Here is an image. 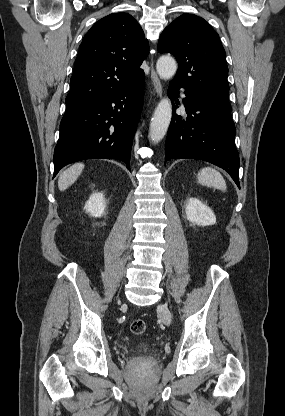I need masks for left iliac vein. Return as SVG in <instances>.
I'll use <instances>...</instances> for the list:
<instances>
[{"label": "left iliac vein", "mask_w": 285, "mask_h": 416, "mask_svg": "<svg viewBox=\"0 0 285 416\" xmlns=\"http://www.w3.org/2000/svg\"><path fill=\"white\" fill-rule=\"evenodd\" d=\"M158 311L163 318L165 324L169 325L172 322V315L167 305L161 304L158 307Z\"/></svg>", "instance_id": "1"}]
</instances>
